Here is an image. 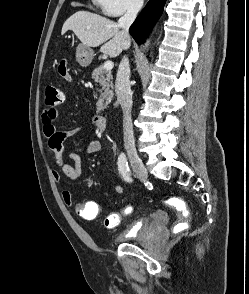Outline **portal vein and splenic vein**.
Returning a JSON list of instances; mask_svg holds the SVG:
<instances>
[{
	"label": "portal vein and splenic vein",
	"instance_id": "obj_1",
	"mask_svg": "<svg viewBox=\"0 0 249 294\" xmlns=\"http://www.w3.org/2000/svg\"><path fill=\"white\" fill-rule=\"evenodd\" d=\"M113 66H114V64H113V62L110 61V60H108V61H106V62L104 63V68H105L106 70H111V69L113 68Z\"/></svg>",
	"mask_w": 249,
	"mask_h": 294
}]
</instances>
